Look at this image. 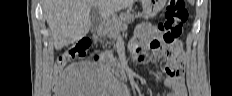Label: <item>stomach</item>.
<instances>
[{
  "instance_id": "0dacf381",
  "label": "stomach",
  "mask_w": 232,
  "mask_h": 96,
  "mask_svg": "<svg viewBox=\"0 0 232 96\" xmlns=\"http://www.w3.org/2000/svg\"><path fill=\"white\" fill-rule=\"evenodd\" d=\"M166 0H142L144 18L154 17L164 7Z\"/></svg>"
}]
</instances>
